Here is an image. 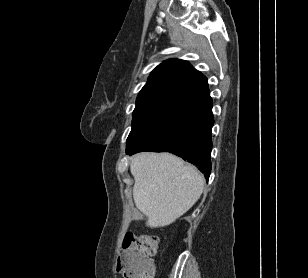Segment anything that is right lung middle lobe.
<instances>
[{"instance_id":"dd1d6c3e","label":"right lung middle lobe","mask_w":308,"mask_h":278,"mask_svg":"<svg viewBox=\"0 0 308 278\" xmlns=\"http://www.w3.org/2000/svg\"><path fill=\"white\" fill-rule=\"evenodd\" d=\"M175 116L174 114H145L133 116L132 129L127 138L126 152L159 132Z\"/></svg>"}]
</instances>
